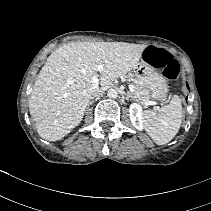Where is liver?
<instances>
[{"label": "liver", "instance_id": "obj_1", "mask_svg": "<svg viewBox=\"0 0 211 211\" xmlns=\"http://www.w3.org/2000/svg\"><path fill=\"white\" fill-rule=\"evenodd\" d=\"M146 47L125 42H71L56 49L38 74L29 100L40 137L58 141L70 133L82 121L92 94L105 91L134 69ZM97 72L100 86L91 82Z\"/></svg>", "mask_w": 211, "mask_h": 211}]
</instances>
